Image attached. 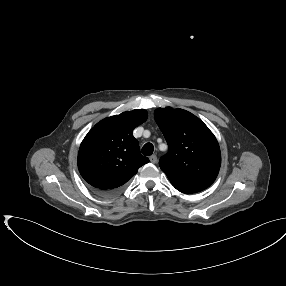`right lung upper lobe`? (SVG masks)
<instances>
[{
  "mask_svg": "<svg viewBox=\"0 0 286 286\" xmlns=\"http://www.w3.org/2000/svg\"><path fill=\"white\" fill-rule=\"evenodd\" d=\"M147 118L145 110L127 111L101 120L88 132L78 152V169L93 189L118 192L149 162L133 136Z\"/></svg>",
  "mask_w": 286,
  "mask_h": 286,
  "instance_id": "right-lung-upper-lobe-1",
  "label": "right lung upper lobe"
}]
</instances>
